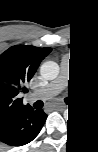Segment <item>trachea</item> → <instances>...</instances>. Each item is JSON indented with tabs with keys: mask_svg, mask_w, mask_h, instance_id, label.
Returning <instances> with one entry per match:
<instances>
[{
	"mask_svg": "<svg viewBox=\"0 0 98 152\" xmlns=\"http://www.w3.org/2000/svg\"><path fill=\"white\" fill-rule=\"evenodd\" d=\"M43 105H44L43 101L38 100L37 102H35L34 107L37 108V109H40V108L43 107Z\"/></svg>",
	"mask_w": 98,
	"mask_h": 152,
	"instance_id": "trachea-1",
	"label": "trachea"
}]
</instances>
